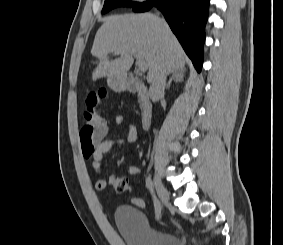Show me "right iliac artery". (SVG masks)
<instances>
[{
	"instance_id": "82829eb1",
	"label": "right iliac artery",
	"mask_w": 283,
	"mask_h": 245,
	"mask_svg": "<svg viewBox=\"0 0 283 245\" xmlns=\"http://www.w3.org/2000/svg\"><path fill=\"white\" fill-rule=\"evenodd\" d=\"M146 187L151 192L154 201L156 218L159 219L161 217V203L155 194L153 181L151 180L150 177L146 178Z\"/></svg>"
}]
</instances>
